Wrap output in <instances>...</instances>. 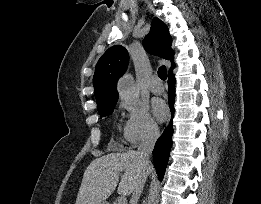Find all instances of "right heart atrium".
Segmentation results:
<instances>
[{
	"mask_svg": "<svg viewBox=\"0 0 261 204\" xmlns=\"http://www.w3.org/2000/svg\"><path fill=\"white\" fill-rule=\"evenodd\" d=\"M120 108L127 113L123 125V138L128 146H136L140 142L157 137L158 124L145 104L123 100L120 102Z\"/></svg>",
	"mask_w": 261,
	"mask_h": 204,
	"instance_id": "d8ad5b80",
	"label": "right heart atrium"
}]
</instances>
